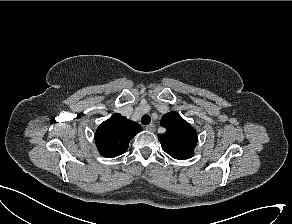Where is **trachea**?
Masks as SVG:
<instances>
[{
  "label": "trachea",
  "instance_id": "trachea-1",
  "mask_svg": "<svg viewBox=\"0 0 292 224\" xmlns=\"http://www.w3.org/2000/svg\"><path fill=\"white\" fill-rule=\"evenodd\" d=\"M151 122V117L149 115H143L141 118V123L143 125H148Z\"/></svg>",
  "mask_w": 292,
  "mask_h": 224
}]
</instances>
